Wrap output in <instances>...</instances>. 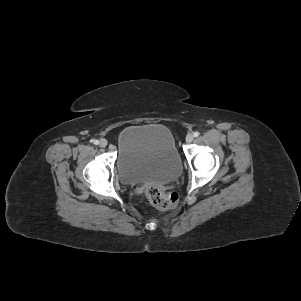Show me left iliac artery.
Listing matches in <instances>:
<instances>
[{"label":"left iliac artery","mask_w":301,"mask_h":301,"mask_svg":"<svg viewBox=\"0 0 301 301\" xmlns=\"http://www.w3.org/2000/svg\"><path fill=\"white\" fill-rule=\"evenodd\" d=\"M199 134H200V133H199L198 131H196V132H194V134H193V135H194V137H198V136H199Z\"/></svg>","instance_id":"left-iliac-artery-1"}]
</instances>
